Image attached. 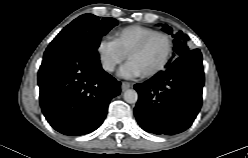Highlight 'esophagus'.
Here are the masks:
<instances>
[{
	"label": "esophagus",
	"instance_id": "1",
	"mask_svg": "<svg viewBox=\"0 0 248 158\" xmlns=\"http://www.w3.org/2000/svg\"><path fill=\"white\" fill-rule=\"evenodd\" d=\"M131 86L132 85L129 82H125V81L122 82V85H121L122 91H125V90L129 89Z\"/></svg>",
	"mask_w": 248,
	"mask_h": 158
}]
</instances>
